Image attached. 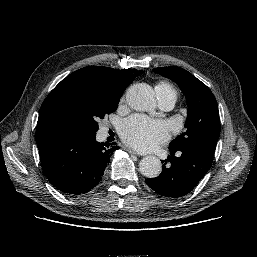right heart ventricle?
Masks as SVG:
<instances>
[{"mask_svg": "<svg viewBox=\"0 0 257 257\" xmlns=\"http://www.w3.org/2000/svg\"><path fill=\"white\" fill-rule=\"evenodd\" d=\"M155 91L158 99L163 97H172L176 100L177 98V92L174 87L165 81L159 82L155 87Z\"/></svg>", "mask_w": 257, "mask_h": 257, "instance_id": "1", "label": "right heart ventricle"}]
</instances>
